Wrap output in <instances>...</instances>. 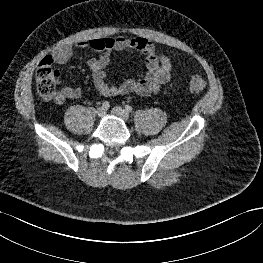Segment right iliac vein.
Listing matches in <instances>:
<instances>
[{
  "mask_svg": "<svg viewBox=\"0 0 263 263\" xmlns=\"http://www.w3.org/2000/svg\"><path fill=\"white\" fill-rule=\"evenodd\" d=\"M96 113H97V115H98L99 117H102V116L105 115L106 110H105L104 107H99V108L97 109Z\"/></svg>",
  "mask_w": 263,
  "mask_h": 263,
  "instance_id": "1",
  "label": "right iliac vein"
}]
</instances>
